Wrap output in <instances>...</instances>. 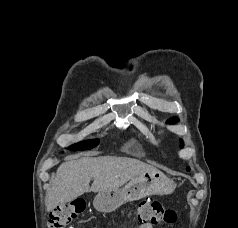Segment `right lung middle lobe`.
<instances>
[{
  "mask_svg": "<svg viewBox=\"0 0 238 228\" xmlns=\"http://www.w3.org/2000/svg\"><path fill=\"white\" fill-rule=\"evenodd\" d=\"M99 140H89V141H83L78 144H74L70 146L68 149L69 150H85V149H91L94 148L96 145H98Z\"/></svg>",
  "mask_w": 238,
  "mask_h": 228,
  "instance_id": "dd1d6c3e",
  "label": "right lung middle lobe"
}]
</instances>
